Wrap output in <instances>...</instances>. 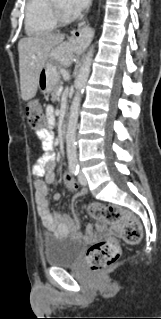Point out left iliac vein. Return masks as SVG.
Segmentation results:
<instances>
[{"label": "left iliac vein", "mask_w": 161, "mask_h": 319, "mask_svg": "<svg viewBox=\"0 0 161 319\" xmlns=\"http://www.w3.org/2000/svg\"><path fill=\"white\" fill-rule=\"evenodd\" d=\"M78 180H79V183L81 185H83V186L87 185V179H86L85 175L82 172H80L78 174Z\"/></svg>", "instance_id": "4c4485c4"}]
</instances>
